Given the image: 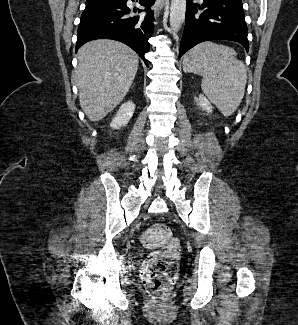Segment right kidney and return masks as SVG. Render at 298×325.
Instances as JSON below:
<instances>
[{
	"instance_id": "1",
	"label": "right kidney",
	"mask_w": 298,
	"mask_h": 325,
	"mask_svg": "<svg viewBox=\"0 0 298 325\" xmlns=\"http://www.w3.org/2000/svg\"><path fill=\"white\" fill-rule=\"evenodd\" d=\"M135 110V104L132 100H127L121 104L119 110L114 114L110 126L111 128H121V126H126L128 124L133 112Z\"/></svg>"
}]
</instances>
